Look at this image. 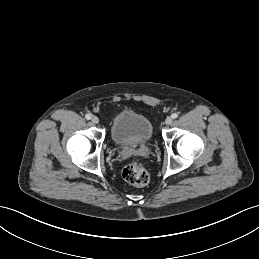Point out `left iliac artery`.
Returning <instances> with one entry per match:
<instances>
[{
  "label": "left iliac artery",
  "instance_id": "1",
  "mask_svg": "<svg viewBox=\"0 0 259 259\" xmlns=\"http://www.w3.org/2000/svg\"><path fill=\"white\" fill-rule=\"evenodd\" d=\"M171 117H172L173 119H175V118L178 117V114H177V113H173V114L171 115Z\"/></svg>",
  "mask_w": 259,
  "mask_h": 259
}]
</instances>
